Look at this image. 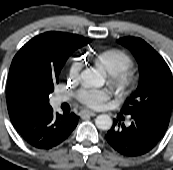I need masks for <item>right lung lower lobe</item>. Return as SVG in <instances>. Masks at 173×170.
<instances>
[{"mask_svg":"<svg viewBox=\"0 0 173 170\" xmlns=\"http://www.w3.org/2000/svg\"><path fill=\"white\" fill-rule=\"evenodd\" d=\"M19 135L38 149H50L62 143L78 124L79 117L54 114L51 106H33L9 114Z\"/></svg>","mask_w":173,"mask_h":170,"instance_id":"obj_1","label":"right lung lower lobe"}]
</instances>
